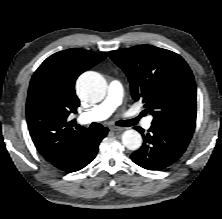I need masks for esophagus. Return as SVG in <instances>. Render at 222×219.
Returning <instances> with one entry per match:
<instances>
[{
  "label": "esophagus",
  "instance_id": "1",
  "mask_svg": "<svg viewBox=\"0 0 222 219\" xmlns=\"http://www.w3.org/2000/svg\"><path fill=\"white\" fill-rule=\"evenodd\" d=\"M111 129L114 132H122L125 130V128H123V127H112Z\"/></svg>",
  "mask_w": 222,
  "mask_h": 219
}]
</instances>
